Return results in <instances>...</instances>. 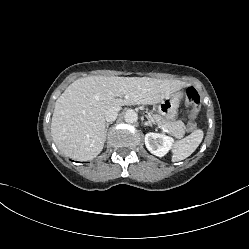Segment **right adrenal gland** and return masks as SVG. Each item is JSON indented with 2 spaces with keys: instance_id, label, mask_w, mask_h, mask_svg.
Masks as SVG:
<instances>
[{
  "instance_id": "1",
  "label": "right adrenal gland",
  "mask_w": 249,
  "mask_h": 249,
  "mask_svg": "<svg viewBox=\"0 0 249 249\" xmlns=\"http://www.w3.org/2000/svg\"><path fill=\"white\" fill-rule=\"evenodd\" d=\"M110 124H112V122L106 123L105 135L107 133V130H108V127H109Z\"/></svg>"
}]
</instances>
